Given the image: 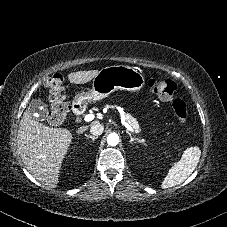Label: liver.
<instances>
[{
	"instance_id": "obj_1",
	"label": "liver",
	"mask_w": 227,
	"mask_h": 227,
	"mask_svg": "<svg viewBox=\"0 0 227 227\" xmlns=\"http://www.w3.org/2000/svg\"><path fill=\"white\" fill-rule=\"evenodd\" d=\"M98 70L78 71L68 75L74 84L91 81ZM98 123L94 121L91 125ZM80 127L77 134L87 130ZM17 144L20 157L26 169L43 185L55 188L59 182L61 165L72 143L73 135L68 129L53 128L35 121L27 109L20 121Z\"/></svg>"
}]
</instances>
